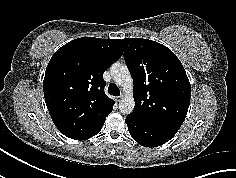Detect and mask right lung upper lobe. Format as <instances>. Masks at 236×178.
<instances>
[{
  "label": "right lung upper lobe",
  "mask_w": 236,
  "mask_h": 178,
  "mask_svg": "<svg viewBox=\"0 0 236 178\" xmlns=\"http://www.w3.org/2000/svg\"><path fill=\"white\" fill-rule=\"evenodd\" d=\"M123 54L120 39L82 37L59 48L43 81L45 102L65 136L86 140L103 127L114 101L104 94L103 73Z\"/></svg>",
  "instance_id": "cb5924a9"
}]
</instances>
